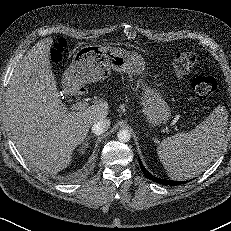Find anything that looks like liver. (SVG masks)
<instances>
[{
    "label": "liver",
    "instance_id": "6515ba94",
    "mask_svg": "<svg viewBox=\"0 0 231 231\" xmlns=\"http://www.w3.org/2000/svg\"><path fill=\"white\" fill-rule=\"evenodd\" d=\"M52 43V38L39 41L16 65L7 88L6 114L22 156L42 172L55 174L70 164L90 127L107 119L109 106L101 101L83 111H68L52 73Z\"/></svg>",
    "mask_w": 231,
    "mask_h": 231
}]
</instances>
